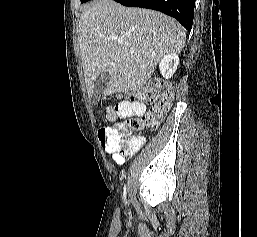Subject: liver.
<instances>
[{"mask_svg": "<svg viewBox=\"0 0 257 237\" xmlns=\"http://www.w3.org/2000/svg\"><path fill=\"white\" fill-rule=\"evenodd\" d=\"M185 41L181 25L167 15L127 8L113 0H96L83 9L79 21L88 95L92 97L94 82L101 72L110 75L102 91L104 96L142 88L160 59L169 52L179 53Z\"/></svg>", "mask_w": 257, "mask_h": 237, "instance_id": "obj_1", "label": "liver"}]
</instances>
